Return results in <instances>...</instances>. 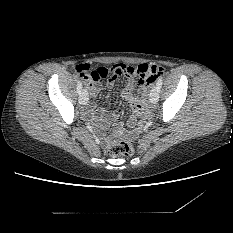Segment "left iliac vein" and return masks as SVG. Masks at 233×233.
<instances>
[{
	"label": "left iliac vein",
	"mask_w": 233,
	"mask_h": 233,
	"mask_svg": "<svg viewBox=\"0 0 233 233\" xmlns=\"http://www.w3.org/2000/svg\"><path fill=\"white\" fill-rule=\"evenodd\" d=\"M158 99H159V90L157 89L156 86L151 90L149 100L151 103L155 104L158 102Z\"/></svg>",
	"instance_id": "left-iliac-vein-1"
}]
</instances>
